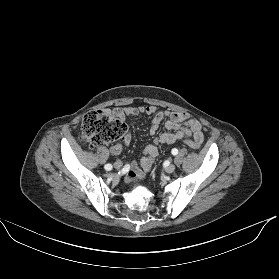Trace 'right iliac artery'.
<instances>
[{"label":"right iliac artery","instance_id":"right-iliac-artery-1","mask_svg":"<svg viewBox=\"0 0 279 279\" xmlns=\"http://www.w3.org/2000/svg\"><path fill=\"white\" fill-rule=\"evenodd\" d=\"M104 168H105L107 171H109V170L112 169V165H111V164H106V165L104 166Z\"/></svg>","mask_w":279,"mask_h":279}]
</instances>
